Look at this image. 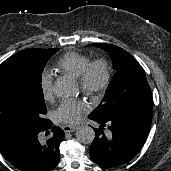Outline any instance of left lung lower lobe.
Here are the masks:
<instances>
[{"mask_svg": "<svg viewBox=\"0 0 171 171\" xmlns=\"http://www.w3.org/2000/svg\"><path fill=\"white\" fill-rule=\"evenodd\" d=\"M101 124L95 130L89 153L91 159L102 167L112 168L132 160L144 145L152 120L135 117L90 118ZM111 131L109 136L104 127Z\"/></svg>", "mask_w": 171, "mask_h": 171, "instance_id": "0a47b994", "label": "left lung lower lobe"}]
</instances>
